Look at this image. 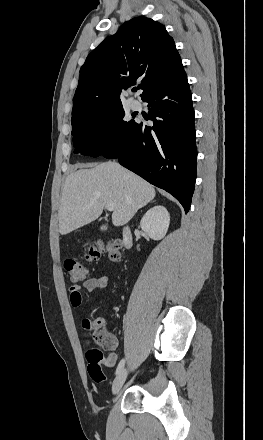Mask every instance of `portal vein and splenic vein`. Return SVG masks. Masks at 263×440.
<instances>
[{"mask_svg": "<svg viewBox=\"0 0 263 440\" xmlns=\"http://www.w3.org/2000/svg\"><path fill=\"white\" fill-rule=\"evenodd\" d=\"M114 208H115V206H114L113 203L108 202V203L106 204V209H107L108 211H113Z\"/></svg>", "mask_w": 263, "mask_h": 440, "instance_id": "obj_1", "label": "portal vein and splenic vein"}]
</instances>
